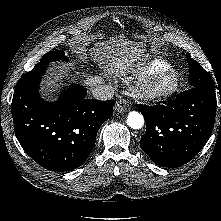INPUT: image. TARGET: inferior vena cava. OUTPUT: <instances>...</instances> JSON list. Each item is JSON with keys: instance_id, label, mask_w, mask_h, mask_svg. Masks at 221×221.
Segmentation results:
<instances>
[{"instance_id": "1", "label": "inferior vena cava", "mask_w": 221, "mask_h": 221, "mask_svg": "<svg viewBox=\"0 0 221 221\" xmlns=\"http://www.w3.org/2000/svg\"><path fill=\"white\" fill-rule=\"evenodd\" d=\"M92 94L97 100H110L114 95V88L109 84H101L92 90Z\"/></svg>"}]
</instances>
